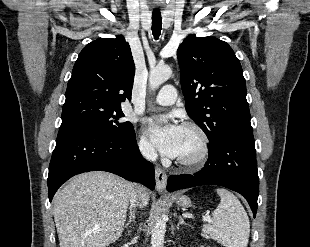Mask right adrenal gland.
Instances as JSON below:
<instances>
[{"mask_svg":"<svg viewBox=\"0 0 310 247\" xmlns=\"http://www.w3.org/2000/svg\"><path fill=\"white\" fill-rule=\"evenodd\" d=\"M135 220H136L135 211H134V210H131V211H130L129 219H128L127 223L125 224L124 228L130 227V224H131L132 222L135 223Z\"/></svg>","mask_w":310,"mask_h":247,"instance_id":"right-adrenal-gland-1","label":"right adrenal gland"}]
</instances>
